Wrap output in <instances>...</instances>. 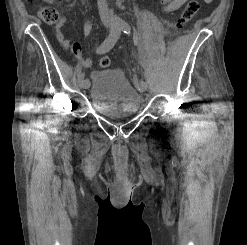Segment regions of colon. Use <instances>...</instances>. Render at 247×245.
Here are the masks:
<instances>
[{
	"mask_svg": "<svg viewBox=\"0 0 247 245\" xmlns=\"http://www.w3.org/2000/svg\"><path fill=\"white\" fill-rule=\"evenodd\" d=\"M200 7V0H188L175 17L174 26L178 29L182 28L195 16V14L200 10ZM39 14L41 19L47 24H54L58 22L61 17L59 12L51 6L42 7ZM110 64L111 60L107 56H104L99 60V65L102 68H108Z\"/></svg>",
	"mask_w": 247,
	"mask_h": 245,
	"instance_id": "1",
	"label": "colon"
}]
</instances>
